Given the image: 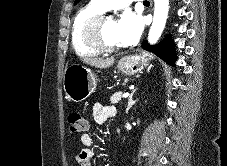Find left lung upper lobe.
Returning a JSON list of instances; mask_svg holds the SVG:
<instances>
[{
	"label": "left lung upper lobe",
	"instance_id": "obj_1",
	"mask_svg": "<svg viewBox=\"0 0 227 166\" xmlns=\"http://www.w3.org/2000/svg\"><path fill=\"white\" fill-rule=\"evenodd\" d=\"M80 0H75V3L74 4H77Z\"/></svg>",
	"mask_w": 227,
	"mask_h": 166
}]
</instances>
